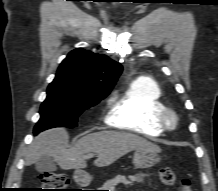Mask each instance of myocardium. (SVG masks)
<instances>
[{
	"instance_id": "myocardium-1",
	"label": "myocardium",
	"mask_w": 218,
	"mask_h": 191,
	"mask_svg": "<svg viewBox=\"0 0 218 191\" xmlns=\"http://www.w3.org/2000/svg\"><path fill=\"white\" fill-rule=\"evenodd\" d=\"M159 122L164 130L173 131L178 128L180 117L178 112L169 107H165L159 114Z\"/></svg>"
}]
</instances>
